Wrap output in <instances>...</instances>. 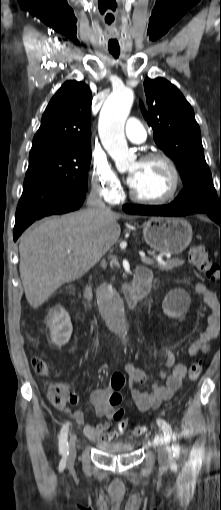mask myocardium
<instances>
[{
    "instance_id": "obj_1",
    "label": "myocardium",
    "mask_w": 221,
    "mask_h": 510,
    "mask_svg": "<svg viewBox=\"0 0 221 510\" xmlns=\"http://www.w3.org/2000/svg\"><path fill=\"white\" fill-rule=\"evenodd\" d=\"M151 160H161L163 161L167 167L169 168L172 176V184L169 192L160 198H145L137 195L132 187L129 188V197L132 201L144 205H163L170 201H172L178 194L180 185H181V177L177 165L173 161V159L163 152H149L144 154L141 158V162L151 161Z\"/></svg>"
}]
</instances>
